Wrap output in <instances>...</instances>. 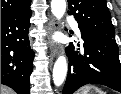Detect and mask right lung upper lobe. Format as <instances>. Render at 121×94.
<instances>
[{
  "mask_svg": "<svg viewBox=\"0 0 121 94\" xmlns=\"http://www.w3.org/2000/svg\"><path fill=\"white\" fill-rule=\"evenodd\" d=\"M31 0H1V18L30 8Z\"/></svg>",
  "mask_w": 121,
  "mask_h": 94,
  "instance_id": "1",
  "label": "right lung upper lobe"
}]
</instances>
